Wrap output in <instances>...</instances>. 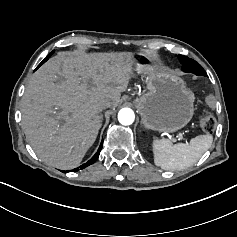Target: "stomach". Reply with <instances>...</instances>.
Here are the masks:
<instances>
[{
  "mask_svg": "<svg viewBox=\"0 0 237 237\" xmlns=\"http://www.w3.org/2000/svg\"><path fill=\"white\" fill-rule=\"evenodd\" d=\"M138 71L151 73L148 92L133 100L147 130L174 133L184 128L194 115L195 97L178 76L153 71L154 60L149 52L137 56Z\"/></svg>",
  "mask_w": 237,
  "mask_h": 237,
  "instance_id": "1",
  "label": "stomach"
}]
</instances>
